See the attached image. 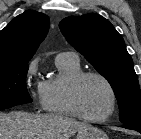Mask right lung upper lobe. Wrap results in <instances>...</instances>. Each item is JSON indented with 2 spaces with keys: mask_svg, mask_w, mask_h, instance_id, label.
<instances>
[{
  "mask_svg": "<svg viewBox=\"0 0 141 139\" xmlns=\"http://www.w3.org/2000/svg\"><path fill=\"white\" fill-rule=\"evenodd\" d=\"M48 16L28 10L14 18L0 32V64H25L30 61L48 32Z\"/></svg>",
  "mask_w": 141,
  "mask_h": 139,
  "instance_id": "obj_1",
  "label": "right lung upper lobe"
}]
</instances>
